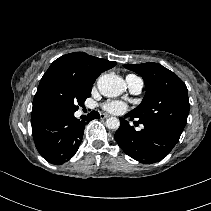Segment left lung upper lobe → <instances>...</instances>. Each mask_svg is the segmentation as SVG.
Masks as SVG:
<instances>
[{
  "instance_id": "5c2ea615",
  "label": "left lung upper lobe",
  "mask_w": 211,
  "mask_h": 211,
  "mask_svg": "<svg viewBox=\"0 0 211 211\" xmlns=\"http://www.w3.org/2000/svg\"><path fill=\"white\" fill-rule=\"evenodd\" d=\"M124 67L138 73L146 85L141 104L129 114L140 123L161 126L180 136L190 108L185 83L157 63L126 64Z\"/></svg>"
}]
</instances>
